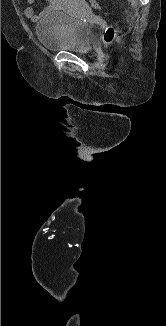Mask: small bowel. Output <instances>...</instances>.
<instances>
[{
    "label": "small bowel",
    "instance_id": "1",
    "mask_svg": "<svg viewBox=\"0 0 166 326\" xmlns=\"http://www.w3.org/2000/svg\"><path fill=\"white\" fill-rule=\"evenodd\" d=\"M26 1L28 3V6L24 10L25 16L32 21H37L43 14L54 10L66 9L70 5H73L76 0H44L47 3V6L41 12H36L33 7V4L36 0Z\"/></svg>",
    "mask_w": 166,
    "mask_h": 326
}]
</instances>
